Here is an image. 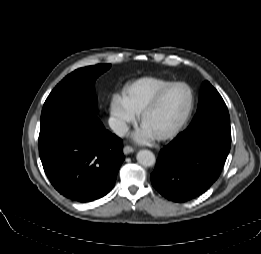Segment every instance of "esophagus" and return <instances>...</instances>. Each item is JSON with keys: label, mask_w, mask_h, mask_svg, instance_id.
I'll return each mask as SVG.
<instances>
[{"label": "esophagus", "mask_w": 261, "mask_h": 254, "mask_svg": "<svg viewBox=\"0 0 261 254\" xmlns=\"http://www.w3.org/2000/svg\"><path fill=\"white\" fill-rule=\"evenodd\" d=\"M123 152H124V154H130V153H133V152H134V149H133L131 146L126 145V146H124V148H123Z\"/></svg>", "instance_id": "esophagus-1"}]
</instances>
